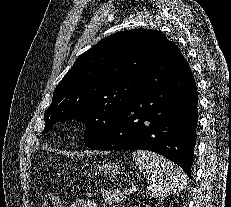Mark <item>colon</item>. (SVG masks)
<instances>
[{
	"mask_svg": "<svg viewBox=\"0 0 231 207\" xmlns=\"http://www.w3.org/2000/svg\"><path fill=\"white\" fill-rule=\"evenodd\" d=\"M42 207H61L59 194L57 192L46 193L42 198Z\"/></svg>",
	"mask_w": 231,
	"mask_h": 207,
	"instance_id": "colon-1",
	"label": "colon"
}]
</instances>
